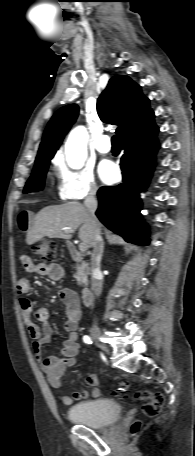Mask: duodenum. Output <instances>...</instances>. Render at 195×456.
<instances>
[{
    "label": "duodenum",
    "mask_w": 195,
    "mask_h": 456,
    "mask_svg": "<svg viewBox=\"0 0 195 456\" xmlns=\"http://www.w3.org/2000/svg\"><path fill=\"white\" fill-rule=\"evenodd\" d=\"M67 247H68V251L72 258H74V259L80 258L79 252L77 251V249L74 247V245L72 243H68ZM81 294H82L83 303L85 305H89L92 300L91 290L87 286H85V287H83Z\"/></svg>",
    "instance_id": "duodenum-1"
}]
</instances>
